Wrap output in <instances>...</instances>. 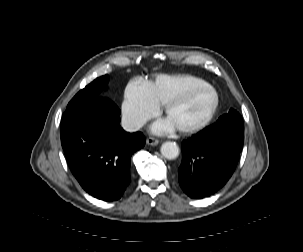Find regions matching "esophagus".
Listing matches in <instances>:
<instances>
[{"label":"esophagus","instance_id":"esophagus-1","mask_svg":"<svg viewBox=\"0 0 303 252\" xmlns=\"http://www.w3.org/2000/svg\"><path fill=\"white\" fill-rule=\"evenodd\" d=\"M146 143H147L148 145L155 146V145L159 144V140L156 139V138H154V137H148V138L146 139Z\"/></svg>","mask_w":303,"mask_h":252}]
</instances>
